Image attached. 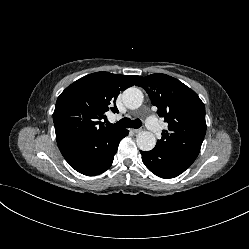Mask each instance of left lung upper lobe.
Listing matches in <instances>:
<instances>
[{"label": "left lung upper lobe", "mask_w": 249, "mask_h": 249, "mask_svg": "<svg viewBox=\"0 0 249 249\" xmlns=\"http://www.w3.org/2000/svg\"><path fill=\"white\" fill-rule=\"evenodd\" d=\"M137 85L146 90L158 115L168 123L155 149L197 157L206 133L205 106L198 95L162 73L146 76Z\"/></svg>", "instance_id": "1"}]
</instances>
